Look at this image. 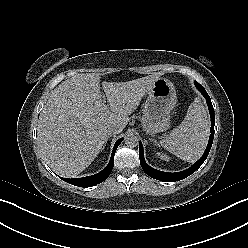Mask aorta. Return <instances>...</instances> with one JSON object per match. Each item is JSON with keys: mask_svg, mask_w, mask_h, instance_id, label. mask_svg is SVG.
<instances>
[{"mask_svg": "<svg viewBox=\"0 0 248 248\" xmlns=\"http://www.w3.org/2000/svg\"><path fill=\"white\" fill-rule=\"evenodd\" d=\"M139 142V137L137 134L129 132L126 136H125V144L128 147H135L138 145Z\"/></svg>", "mask_w": 248, "mask_h": 248, "instance_id": "762f6f07", "label": "aorta"}]
</instances>
